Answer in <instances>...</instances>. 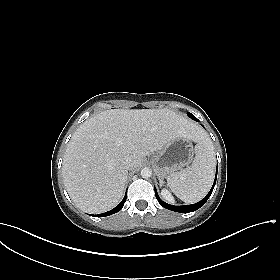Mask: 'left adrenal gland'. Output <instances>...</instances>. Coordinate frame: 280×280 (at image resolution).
<instances>
[{
    "instance_id": "obj_1",
    "label": "left adrenal gland",
    "mask_w": 280,
    "mask_h": 280,
    "mask_svg": "<svg viewBox=\"0 0 280 280\" xmlns=\"http://www.w3.org/2000/svg\"><path fill=\"white\" fill-rule=\"evenodd\" d=\"M159 183H160V186H162L164 184V181L159 178Z\"/></svg>"
}]
</instances>
